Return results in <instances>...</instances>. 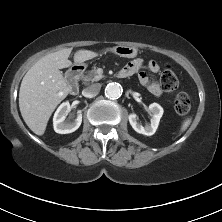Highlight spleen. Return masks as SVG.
<instances>
[{
  "label": "spleen",
  "mask_w": 222,
  "mask_h": 222,
  "mask_svg": "<svg viewBox=\"0 0 222 222\" xmlns=\"http://www.w3.org/2000/svg\"><path fill=\"white\" fill-rule=\"evenodd\" d=\"M190 123H191V118L185 119L184 122L182 123L180 131L184 132L189 127Z\"/></svg>",
  "instance_id": "obj_1"
}]
</instances>
